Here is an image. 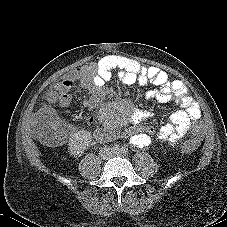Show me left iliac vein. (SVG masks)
<instances>
[{
    "instance_id": "obj_1",
    "label": "left iliac vein",
    "mask_w": 227,
    "mask_h": 227,
    "mask_svg": "<svg viewBox=\"0 0 227 227\" xmlns=\"http://www.w3.org/2000/svg\"><path fill=\"white\" fill-rule=\"evenodd\" d=\"M112 155L113 156H122L123 154L120 152V151H114V152H112Z\"/></svg>"
}]
</instances>
